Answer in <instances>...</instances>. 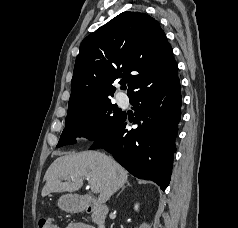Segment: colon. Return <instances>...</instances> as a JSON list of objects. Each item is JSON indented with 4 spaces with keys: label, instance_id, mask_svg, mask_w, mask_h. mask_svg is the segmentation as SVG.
Segmentation results:
<instances>
[{
    "label": "colon",
    "instance_id": "colon-1",
    "mask_svg": "<svg viewBox=\"0 0 238 228\" xmlns=\"http://www.w3.org/2000/svg\"><path fill=\"white\" fill-rule=\"evenodd\" d=\"M39 228H58L51 219L42 217L38 221Z\"/></svg>",
    "mask_w": 238,
    "mask_h": 228
}]
</instances>
